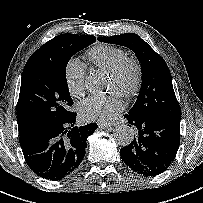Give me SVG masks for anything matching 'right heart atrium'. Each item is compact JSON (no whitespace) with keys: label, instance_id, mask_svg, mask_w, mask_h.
I'll list each match as a JSON object with an SVG mask.
<instances>
[{"label":"right heart atrium","instance_id":"right-heart-atrium-1","mask_svg":"<svg viewBox=\"0 0 203 203\" xmlns=\"http://www.w3.org/2000/svg\"><path fill=\"white\" fill-rule=\"evenodd\" d=\"M85 66L76 59L71 58L65 67L64 77L69 93L74 97L82 96L85 92Z\"/></svg>","mask_w":203,"mask_h":203}]
</instances>
